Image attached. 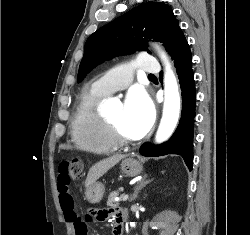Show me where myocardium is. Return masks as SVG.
Listing matches in <instances>:
<instances>
[{"label":"myocardium","instance_id":"obj_1","mask_svg":"<svg viewBox=\"0 0 250 235\" xmlns=\"http://www.w3.org/2000/svg\"><path fill=\"white\" fill-rule=\"evenodd\" d=\"M105 121L108 125V128L110 130L111 137L113 141L117 144V146H129L132 144H135L137 140H130L127 139L121 132L120 128L113 123L108 118H105Z\"/></svg>","mask_w":250,"mask_h":235}]
</instances>
